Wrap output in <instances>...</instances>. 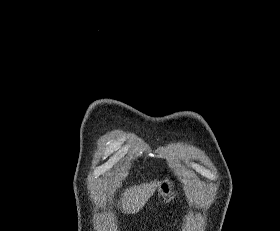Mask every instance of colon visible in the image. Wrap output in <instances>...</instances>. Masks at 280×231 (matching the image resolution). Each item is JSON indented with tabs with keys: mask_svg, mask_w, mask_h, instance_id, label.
<instances>
[{
	"mask_svg": "<svg viewBox=\"0 0 280 231\" xmlns=\"http://www.w3.org/2000/svg\"><path fill=\"white\" fill-rule=\"evenodd\" d=\"M170 212H171V213H174V212H175V209H174V208H171V209H170Z\"/></svg>",
	"mask_w": 280,
	"mask_h": 231,
	"instance_id": "1",
	"label": "colon"
}]
</instances>
